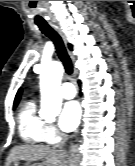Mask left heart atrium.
<instances>
[{
    "mask_svg": "<svg viewBox=\"0 0 135 166\" xmlns=\"http://www.w3.org/2000/svg\"><path fill=\"white\" fill-rule=\"evenodd\" d=\"M81 115L80 106L77 101L66 102L59 116V126L65 132L76 128Z\"/></svg>",
    "mask_w": 135,
    "mask_h": 166,
    "instance_id": "obj_1",
    "label": "left heart atrium"
}]
</instances>
